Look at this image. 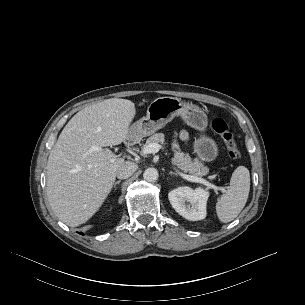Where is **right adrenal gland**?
Returning <instances> with one entry per match:
<instances>
[{
	"label": "right adrenal gland",
	"mask_w": 305,
	"mask_h": 305,
	"mask_svg": "<svg viewBox=\"0 0 305 305\" xmlns=\"http://www.w3.org/2000/svg\"><path fill=\"white\" fill-rule=\"evenodd\" d=\"M121 183V180H118L116 181L114 184H113V188L115 189L117 185H119Z\"/></svg>",
	"instance_id": "obj_1"
}]
</instances>
